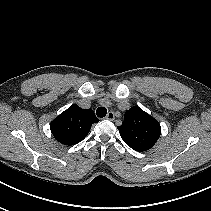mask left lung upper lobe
I'll list each match as a JSON object with an SVG mask.
<instances>
[{
	"label": "left lung upper lobe",
	"instance_id": "obj_1",
	"mask_svg": "<svg viewBox=\"0 0 211 211\" xmlns=\"http://www.w3.org/2000/svg\"><path fill=\"white\" fill-rule=\"evenodd\" d=\"M118 129L124 142L139 152L152 148L161 134L158 121L138 106L125 112L124 121Z\"/></svg>",
	"mask_w": 211,
	"mask_h": 211
}]
</instances>
